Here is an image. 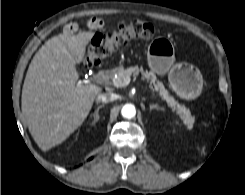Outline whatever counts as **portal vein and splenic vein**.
Listing matches in <instances>:
<instances>
[{
  "label": "portal vein and splenic vein",
  "instance_id": "18ae733b",
  "mask_svg": "<svg viewBox=\"0 0 245 195\" xmlns=\"http://www.w3.org/2000/svg\"><path fill=\"white\" fill-rule=\"evenodd\" d=\"M130 83V77H127L124 79V85H128ZM114 86H117L116 82H113ZM153 96H156L155 93L152 91L151 92Z\"/></svg>",
  "mask_w": 245,
  "mask_h": 195
}]
</instances>
